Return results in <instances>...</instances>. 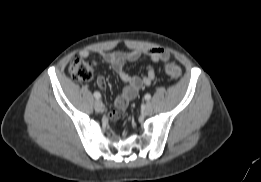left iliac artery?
<instances>
[{
    "mask_svg": "<svg viewBox=\"0 0 261 182\" xmlns=\"http://www.w3.org/2000/svg\"><path fill=\"white\" fill-rule=\"evenodd\" d=\"M144 98H145L146 100H150L151 95H150V94H146V95L144 96Z\"/></svg>",
    "mask_w": 261,
    "mask_h": 182,
    "instance_id": "44dca946",
    "label": "left iliac artery"
}]
</instances>
